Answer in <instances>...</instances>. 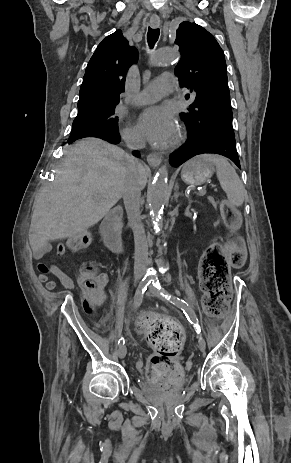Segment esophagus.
Listing matches in <instances>:
<instances>
[{
  "mask_svg": "<svg viewBox=\"0 0 291 463\" xmlns=\"http://www.w3.org/2000/svg\"><path fill=\"white\" fill-rule=\"evenodd\" d=\"M150 24L152 27L156 28L160 25V18L159 17H151ZM147 162L150 166L157 167L162 162V157L159 154L151 153L147 156Z\"/></svg>",
  "mask_w": 291,
  "mask_h": 463,
  "instance_id": "34e87169",
  "label": "esophagus"
}]
</instances>
